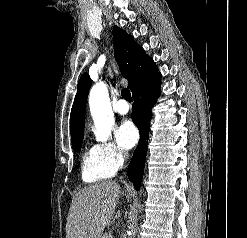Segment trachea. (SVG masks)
Returning <instances> with one entry per match:
<instances>
[{
    "label": "trachea",
    "instance_id": "trachea-1",
    "mask_svg": "<svg viewBox=\"0 0 247 238\" xmlns=\"http://www.w3.org/2000/svg\"><path fill=\"white\" fill-rule=\"evenodd\" d=\"M121 95L122 97L127 100L128 102H132V97H131V93L128 89H123L121 91Z\"/></svg>",
    "mask_w": 247,
    "mask_h": 238
}]
</instances>
